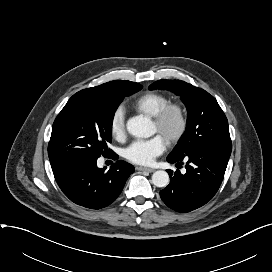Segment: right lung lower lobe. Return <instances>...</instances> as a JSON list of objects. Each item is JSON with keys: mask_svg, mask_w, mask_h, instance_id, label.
Instances as JSON below:
<instances>
[{"mask_svg": "<svg viewBox=\"0 0 272 272\" xmlns=\"http://www.w3.org/2000/svg\"><path fill=\"white\" fill-rule=\"evenodd\" d=\"M116 155V154H115ZM98 157L66 159L51 165L62 192L74 203L100 209L110 205L121 193L134 167L118 160L108 171L98 168Z\"/></svg>", "mask_w": 272, "mask_h": 272, "instance_id": "right-lung-lower-lobe-1", "label": "right lung lower lobe"}]
</instances>
